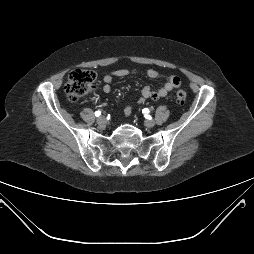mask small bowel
<instances>
[{"label": "small bowel", "instance_id": "1", "mask_svg": "<svg viewBox=\"0 0 254 254\" xmlns=\"http://www.w3.org/2000/svg\"><path fill=\"white\" fill-rule=\"evenodd\" d=\"M135 73H136L135 70L120 68L105 74L102 78L103 81L102 91L104 93H109L111 91V83L114 78H122ZM146 74L151 79H155L160 76L159 72L155 69H148ZM180 84L181 80L177 75H170L168 76L166 83L157 90H154L150 86L146 85L141 90V96L138 99V102L143 103L146 99L159 100L161 98H164L174 89L178 88ZM131 111L132 108L130 105H127L124 108L125 115H130Z\"/></svg>", "mask_w": 254, "mask_h": 254}]
</instances>
